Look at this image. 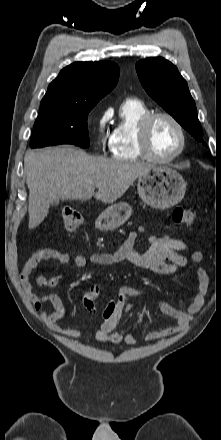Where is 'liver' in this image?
Returning a JSON list of instances; mask_svg holds the SVG:
<instances>
[{
    "label": "liver",
    "instance_id": "6515ba94",
    "mask_svg": "<svg viewBox=\"0 0 221 440\" xmlns=\"http://www.w3.org/2000/svg\"><path fill=\"white\" fill-rule=\"evenodd\" d=\"M152 167L145 162L92 157L70 146L29 151L24 157L28 228L34 229L45 219L55 200H90L94 196L103 203H113Z\"/></svg>",
    "mask_w": 221,
    "mask_h": 440
}]
</instances>
